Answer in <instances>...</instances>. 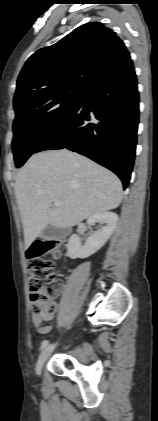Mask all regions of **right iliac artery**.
<instances>
[{
    "label": "right iliac artery",
    "mask_w": 158,
    "mask_h": 421,
    "mask_svg": "<svg viewBox=\"0 0 158 421\" xmlns=\"http://www.w3.org/2000/svg\"><path fill=\"white\" fill-rule=\"evenodd\" d=\"M48 343H49V342H48V340H44V341L41 343V348H40V349H41V350H42V349H44V348L48 345Z\"/></svg>",
    "instance_id": "obj_1"
}]
</instances>
